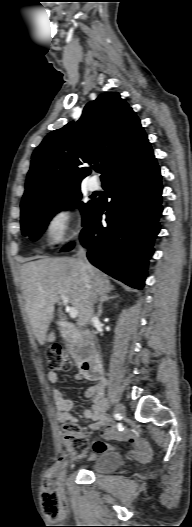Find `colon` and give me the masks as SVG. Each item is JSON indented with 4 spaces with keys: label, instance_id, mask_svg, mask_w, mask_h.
Listing matches in <instances>:
<instances>
[{
    "label": "colon",
    "instance_id": "1",
    "mask_svg": "<svg viewBox=\"0 0 192 527\" xmlns=\"http://www.w3.org/2000/svg\"><path fill=\"white\" fill-rule=\"evenodd\" d=\"M48 366L53 370L68 371L72 367L69 356L59 346H52L47 352ZM62 443L68 454L73 458L83 457L89 449L90 443L87 433L75 421L67 422L62 430ZM49 486V483H46ZM57 499L54 492H45L44 506L54 507Z\"/></svg>",
    "mask_w": 192,
    "mask_h": 527
}]
</instances>
